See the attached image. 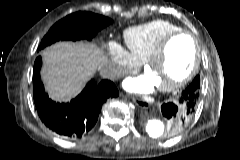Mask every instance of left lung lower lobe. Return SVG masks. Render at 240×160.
Masks as SVG:
<instances>
[{
    "mask_svg": "<svg viewBox=\"0 0 240 160\" xmlns=\"http://www.w3.org/2000/svg\"><path fill=\"white\" fill-rule=\"evenodd\" d=\"M199 99V91L195 90V86L189 85L180 95V97L175 102H167L161 106V111L163 115L174 122L175 125L185 124L190 122L193 117L197 102ZM188 118V120H187ZM187 123V124H188ZM172 132H178L171 127Z\"/></svg>",
    "mask_w": 240,
    "mask_h": 160,
    "instance_id": "1",
    "label": "left lung lower lobe"
}]
</instances>
